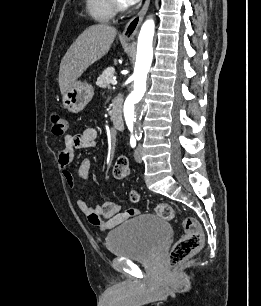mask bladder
Wrapping results in <instances>:
<instances>
[{
	"label": "bladder",
	"mask_w": 261,
	"mask_h": 306,
	"mask_svg": "<svg viewBox=\"0 0 261 306\" xmlns=\"http://www.w3.org/2000/svg\"><path fill=\"white\" fill-rule=\"evenodd\" d=\"M169 223L157 214H141L129 219L106 237L108 251L130 260H148L170 238Z\"/></svg>",
	"instance_id": "bladder-1"
}]
</instances>
